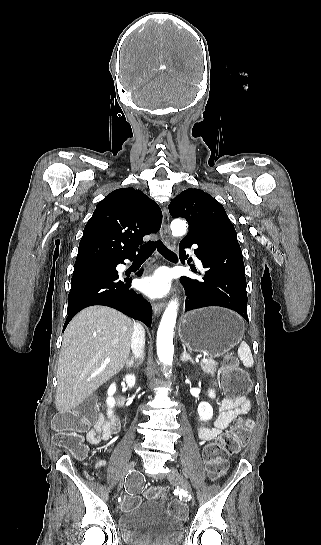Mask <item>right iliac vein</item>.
<instances>
[{"instance_id": "obj_1", "label": "right iliac vein", "mask_w": 321, "mask_h": 545, "mask_svg": "<svg viewBox=\"0 0 321 545\" xmlns=\"http://www.w3.org/2000/svg\"><path fill=\"white\" fill-rule=\"evenodd\" d=\"M134 467H135V462L132 461L128 466H127V469L125 471V473L123 474L119 484H118V491H120L122 488H123V484H124V478L127 477L128 473L129 472H132L134 470Z\"/></svg>"}]
</instances>
